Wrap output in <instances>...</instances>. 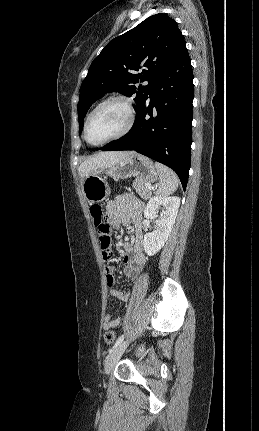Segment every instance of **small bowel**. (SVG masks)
<instances>
[{"instance_id":"1","label":"small bowel","mask_w":259,"mask_h":431,"mask_svg":"<svg viewBox=\"0 0 259 431\" xmlns=\"http://www.w3.org/2000/svg\"><path fill=\"white\" fill-rule=\"evenodd\" d=\"M142 207V203L132 194L119 195L106 206L107 219L110 224L116 227L120 224L132 227V241L124 242L122 245L127 253L123 259L124 270L132 283L137 280L146 263L141 222ZM105 271L107 284L110 287L109 297L120 302H126L130 297V293L113 287L114 266L107 265ZM119 324V317H112L110 314L105 315L103 321L105 330L116 328Z\"/></svg>"}]
</instances>
